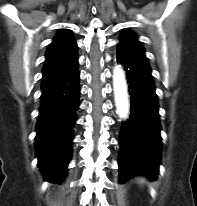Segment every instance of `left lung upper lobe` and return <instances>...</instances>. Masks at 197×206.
Here are the masks:
<instances>
[{"label":"left lung upper lobe","instance_id":"1","mask_svg":"<svg viewBox=\"0 0 197 206\" xmlns=\"http://www.w3.org/2000/svg\"><path fill=\"white\" fill-rule=\"evenodd\" d=\"M120 43L118 44L122 48L134 54L137 58H139L145 65L149 68L148 59L145 56V50L140 41H138L135 34L130 31H124L120 36Z\"/></svg>","mask_w":197,"mask_h":206}]
</instances>
